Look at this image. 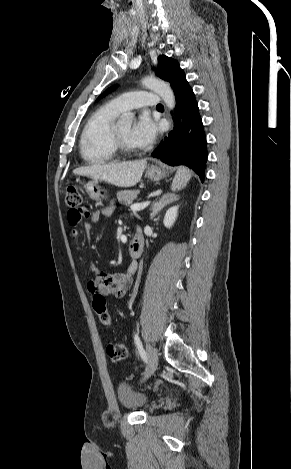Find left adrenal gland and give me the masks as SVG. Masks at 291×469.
I'll list each match as a JSON object with an SVG mask.
<instances>
[{"label": "left adrenal gland", "mask_w": 291, "mask_h": 469, "mask_svg": "<svg viewBox=\"0 0 291 469\" xmlns=\"http://www.w3.org/2000/svg\"><path fill=\"white\" fill-rule=\"evenodd\" d=\"M178 199H179V196L175 194H170V193L163 194L161 198L159 199V201L155 202L152 205V212L150 214V219H153L157 215V213L167 204H170Z\"/></svg>", "instance_id": "left-adrenal-gland-1"}]
</instances>
